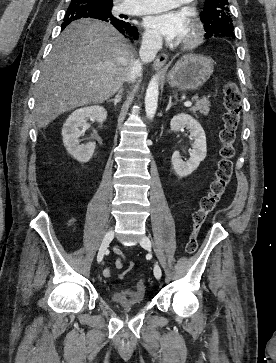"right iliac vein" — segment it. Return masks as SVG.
I'll use <instances>...</instances> for the list:
<instances>
[{"label": "right iliac vein", "instance_id": "1", "mask_svg": "<svg viewBox=\"0 0 276 363\" xmlns=\"http://www.w3.org/2000/svg\"><path fill=\"white\" fill-rule=\"evenodd\" d=\"M113 238H114V230L110 229L105 234V236H104V238L102 240V243L100 245L98 254H97V261L99 263L102 261L104 255L106 253V250H107L109 244L111 243V241L113 240Z\"/></svg>", "mask_w": 276, "mask_h": 363}]
</instances>
